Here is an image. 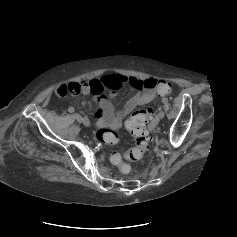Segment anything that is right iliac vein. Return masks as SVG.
Masks as SVG:
<instances>
[{
  "label": "right iliac vein",
  "mask_w": 237,
  "mask_h": 237,
  "mask_svg": "<svg viewBox=\"0 0 237 237\" xmlns=\"http://www.w3.org/2000/svg\"><path fill=\"white\" fill-rule=\"evenodd\" d=\"M82 122H83V124H84L86 127H89V126H90V121H89V119H88L87 117H84V118L82 119Z\"/></svg>",
  "instance_id": "obj_1"
}]
</instances>
